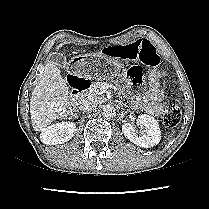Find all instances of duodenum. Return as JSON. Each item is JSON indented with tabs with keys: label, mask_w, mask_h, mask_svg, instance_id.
Here are the masks:
<instances>
[{
	"label": "duodenum",
	"mask_w": 209,
	"mask_h": 209,
	"mask_svg": "<svg viewBox=\"0 0 209 209\" xmlns=\"http://www.w3.org/2000/svg\"><path fill=\"white\" fill-rule=\"evenodd\" d=\"M69 83L72 87L71 102L77 103L81 95L88 90L91 85V81L84 77H69Z\"/></svg>",
	"instance_id": "obj_1"
}]
</instances>
